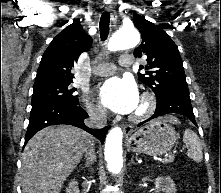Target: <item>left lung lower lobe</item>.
I'll list each match as a JSON object with an SVG mask.
<instances>
[{"label":"left lung lower lobe","mask_w":221,"mask_h":193,"mask_svg":"<svg viewBox=\"0 0 221 193\" xmlns=\"http://www.w3.org/2000/svg\"><path fill=\"white\" fill-rule=\"evenodd\" d=\"M170 113L181 114L189 118L197 126L190 102L188 88H178L163 97L161 100L157 101L155 113L148 120H145L138 126L151 119Z\"/></svg>","instance_id":"0a47b994"}]
</instances>
